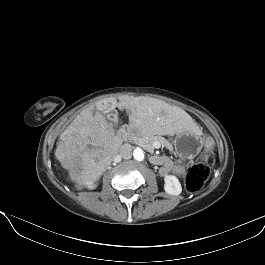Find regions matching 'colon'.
Segmentation results:
<instances>
[{
  "mask_svg": "<svg viewBox=\"0 0 265 265\" xmlns=\"http://www.w3.org/2000/svg\"><path fill=\"white\" fill-rule=\"evenodd\" d=\"M205 145L207 148L205 157L202 161L191 165L185 176V187L190 193L201 191L210 176L211 167L214 163V156L211 152L213 141L207 138Z\"/></svg>",
  "mask_w": 265,
  "mask_h": 265,
  "instance_id": "colon-1",
  "label": "colon"
}]
</instances>
